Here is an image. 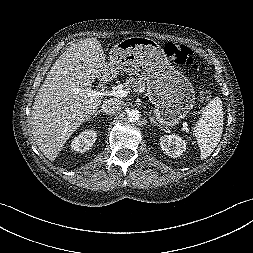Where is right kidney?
Wrapping results in <instances>:
<instances>
[{
	"label": "right kidney",
	"instance_id": "right-kidney-1",
	"mask_svg": "<svg viewBox=\"0 0 253 253\" xmlns=\"http://www.w3.org/2000/svg\"><path fill=\"white\" fill-rule=\"evenodd\" d=\"M96 137L93 130L83 131L71 141V148L77 152H86L93 147Z\"/></svg>",
	"mask_w": 253,
	"mask_h": 253
}]
</instances>
